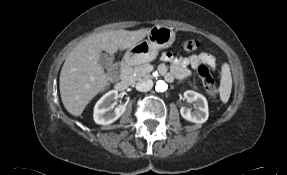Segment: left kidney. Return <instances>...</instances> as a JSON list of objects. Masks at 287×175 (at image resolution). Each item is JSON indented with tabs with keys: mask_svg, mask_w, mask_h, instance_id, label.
Wrapping results in <instances>:
<instances>
[{
	"mask_svg": "<svg viewBox=\"0 0 287 175\" xmlns=\"http://www.w3.org/2000/svg\"><path fill=\"white\" fill-rule=\"evenodd\" d=\"M184 97L188 101L194 102L195 110L191 111L189 108L182 107L180 109L181 116L190 122L201 124L207 121L209 116L208 103L206 98L193 90L184 92Z\"/></svg>",
	"mask_w": 287,
	"mask_h": 175,
	"instance_id": "5707ae66",
	"label": "left kidney"
}]
</instances>
